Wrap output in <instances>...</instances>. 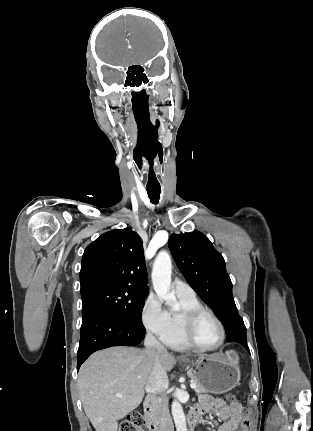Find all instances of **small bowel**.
Returning a JSON list of instances; mask_svg holds the SVG:
<instances>
[{"instance_id": "1", "label": "small bowel", "mask_w": 313, "mask_h": 431, "mask_svg": "<svg viewBox=\"0 0 313 431\" xmlns=\"http://www.w3.org/2000/svg\"><path fill=\"white\" fill-rule=\"evenodd\" d=\"M214 412L221 425L217 431H248L250 420L244 408L238 403L227 404L221 398H212L208 395H203L200 402L195 406L191 413H194L197 418L207 412Z\"/></svg>"}]
</instances>
